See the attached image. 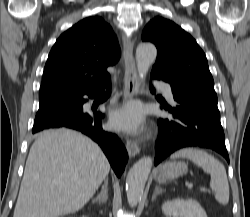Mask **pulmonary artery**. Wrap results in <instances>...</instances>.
<instances>
[{"mask_svg":"<svg viewBox=\"0 0 250 217\" xmlns=\"http://www.w3.org/2000/svg\"><path fill=\"white\" fill-rule=\"evenodd\" d=\"M156 87L162 91L165 95V97L170 101V102H174V98H173V94H172V90H171V86L163 81H157L155 83Z\"/></svg>","mask_w":250,"mask_h":217,"instance_id":"1","label":"pulmonary artery"}]
</instances>
